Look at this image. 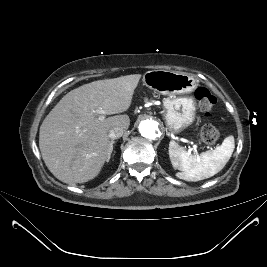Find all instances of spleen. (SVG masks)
<instances>
[{"instance_id": "spleen-1", "label": "spleen", "mask_w": 267, "mask_h": 267, "mask_svg": "<svg viewBox=\"0 0 267 267\" xmlns=\"http://www.w3.org/2000/svg\"><path fill=\"white\" fill-rule=\"evenodd\" d=\"M235 148L234 137L228 136L220 146L200 155H193L179 146L175 141L169 143V157L174 169H178L177 177L186 181H200L220 172Z\"/></svg>"}]
</instances>
